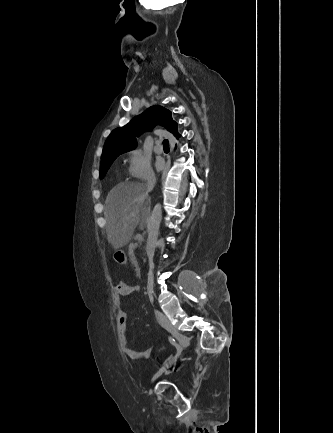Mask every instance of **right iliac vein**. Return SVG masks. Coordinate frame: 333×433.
<instances>
[{
	"label": "right iliac vein",
	"instance_id": "63e3f726",
	"mask_svg": "<svg viewBox=\"0 0 333 433\" xmlns=\"http://www.w3.org/2000/svg\"><path fill=\"white\" fill-rule=\"evenodd\" d=\"M163 327L166 330H168L173 335V337H175L178 340V342L181 345V348L178 349L174 359L170 360L167 364H165L154 374L152 381L156 380L159 376L162 375V373H164L169 367H171V365L174 364L176 362V359L181 355L182 350L189 345V338L185 334H182L177 329H175L170 323L164 324ZM151 393L152 390H150L149 394Z\"/></svg>",
	"mask_w": 333,
	"mask_h": 433
}]
</instances>
